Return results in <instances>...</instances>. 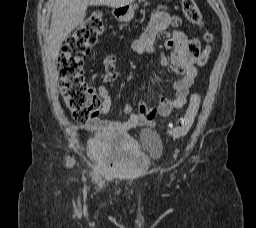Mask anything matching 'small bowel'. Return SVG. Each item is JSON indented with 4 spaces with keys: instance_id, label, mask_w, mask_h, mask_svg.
<instances>
[{
    "instance_id": "obj_1",
    "label": "small bowel",
    "mask_w": 256,
    "mask_h": 228,
    "mask_svg": "<svg viewBox=\"0 0 256 228\" xmlns=\"http://www.w3.org/2000/svg\"><path fill=\"white\" fill-rule=\"evenodd\" d=\"M180 23L181 19L177 16H172L164 11H155L144 33L132 43V50L140 54H153L156 37L169 27H178ZM165 47L170 49L172 54L169 59L159 55L161 63L169 65L172 71L181 76L173 83L174 98L169 99L159 95L157 107L152 108L144 100H140L137 112L133 111L130 104H125L123 111L127 115L126 121L92 119L89 121L91 127L99 133H124L138 126H154L158 115L166 117L172 111L185 106L190 87L198 74L195 63L200 51L199 41L189 39L182 31H175L166 40ZM104 68L103 81L105 83L114 82L119 76L115 55H108L104 59ZM95 90L102 100L101 113L109 114L111 111L109 90L105 86H98Z\"/></svg>"
}]
</instances>
